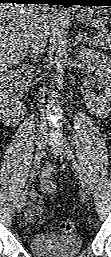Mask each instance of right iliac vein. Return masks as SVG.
<instances>
[{
	"label": "right iliac vein",
	"mask_w": 111,
	"mask_h": 257,
	"mask_svg": "<svg viewBox=\"0 0 111 257\" xmlns=\"http://www.w3.org/2000/svg\"><path fill=\"white\" fill-rule=\"evenodd\" d=\"M46 146V139L44 136H40L38 141H37V148H36V153H35V161L34 165L37 166L40 160L42 159L44 155V150ZM26 198H20L17 204V211L21 212L25 205Z\"/></svg>",
	"instance_id": "1"
}]
</instances>
